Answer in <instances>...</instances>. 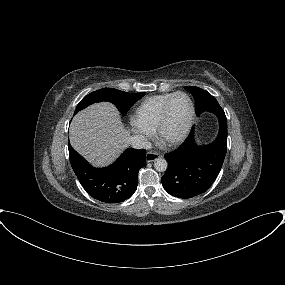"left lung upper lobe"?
<instances>
[{
  "mask_svg": "<svg viewBox=\"0 0 285 285\" xmlns=\"http://www.w3.org/2000/svg\"><path fill=\"white\" fill-rule=\"evenodd\" d=\"M185 89L188 90L195 98V109L197 115L210 107L220 106L214 96L199 87L186 86Z\"/></svg>",
  "mask_w": 285,
  "mask_h": 285,
  "instance_id": "5c2ea615",
  "label": "left lung upper lobe"
}]
</instances>
